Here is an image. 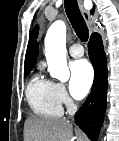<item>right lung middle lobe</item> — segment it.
Here are the masks:
<instances>
[{"instance_id":"dd1d6c3e","label":"right lung middle lobe","mask_w":119,"mask_h":141,"mask_svg":"<svg viewBox=\"0 0 119 141\" xmlns=\"http://www.w3.org/2000/svg\"><path fill=\"white\" fill-rule=\"evenodd\" d=\"M25 75H28L30 73V71H24Z\"/></svg>"}]
</instances>
